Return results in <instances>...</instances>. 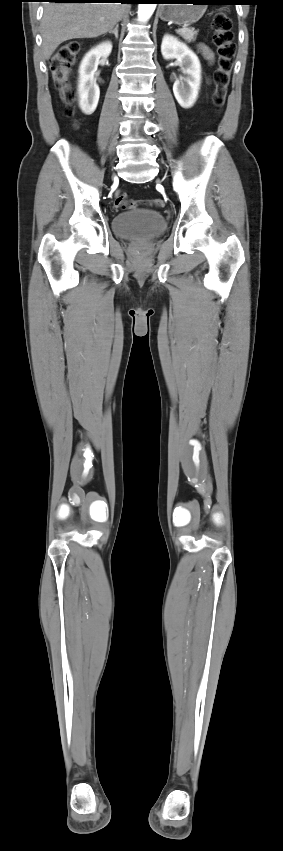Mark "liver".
Wrapping results in <instances>:
<instances>
[{
    "mask_svg": "<svg viewBox=\"0 0 283 851\" xmlns=\"http://www.w3.org/2000/svg\"><path fill=\"white\" fill-rule=\"evenodd\" d=\"M121 3H45L41 21L44 59L71 39L96 38L111 30L123 17Z\"/></svg>",
    "mask_w": 283,
    "mask_h": 851,
    "instance_id": "1",
    "label": "liver"
}]
</instances>
